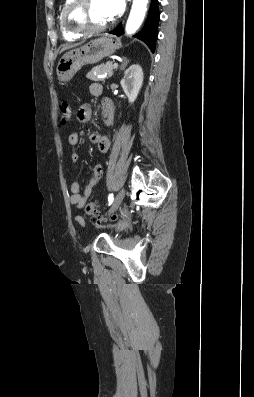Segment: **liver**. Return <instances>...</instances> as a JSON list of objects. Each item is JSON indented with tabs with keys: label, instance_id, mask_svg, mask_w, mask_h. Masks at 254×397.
<instances>
[{
	"label": "liver",
	"instance_id": "obj_1",
	"mask_svg": "<svg viewBox=\"0 0 254 397\" xmlns=\"http://www.w3.org/2000/svg\"><path fill=\"white\" fill-rule=\"evenodd\" d=\"M79 44H81V43H79ZM79 44H74V45L66 46V47H64L61 51H65V50H67V49H69V48H72V47H75V46H77V45H79Z\"/></svg>",
	"mask_w": 254,
	"mask_h": 397
}]
</instances>
